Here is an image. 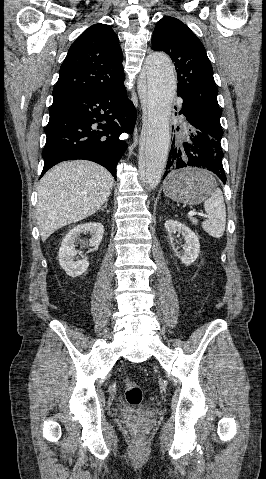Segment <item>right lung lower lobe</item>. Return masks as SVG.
Wrapping results in <instances>:
<instances>
[{"label": "right lung lower lobe", "mask_w": 266, "mask_h": 479, "mask_svg": "<svg viewBox=\"0 0 266 479\" xmlns=\"http://www.w3.org/2000/svg\"><path fill=\"white\" fill-rule=\"evenodd\" d=\"M49 114L40 178L52 166L73 159L94 161L116 178V165L127 147L119 136L132 133L136 116L123 82L88 93L54 98Z\"/></svg>", "instance_id": "right-lung-lower-lobe-1"}]
</instances>
